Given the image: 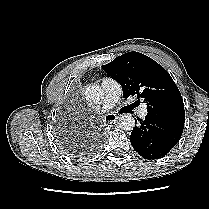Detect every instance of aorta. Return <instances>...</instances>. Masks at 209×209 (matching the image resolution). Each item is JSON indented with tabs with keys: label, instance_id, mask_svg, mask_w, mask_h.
Here are the masks:
<instances>
[{
	"label": "aorta",
	"instance_id": "aorta-1",
	"mask_svg": "<svg viewBox=\"0 0 209 209\" xmlns=\"http://www.w3.org/2000/svg\"><path fill=\"white\" fill-rule=\"evenodd\" d=\"M85 99L89 104H100L104 99V91L99 85L88 86L85 90ZM118 126L125 131H130L135 126V120L131 114H121Z\"/></svg>",
	"mask_w": 209,
	"mask_h": 209
}]
</instances>
